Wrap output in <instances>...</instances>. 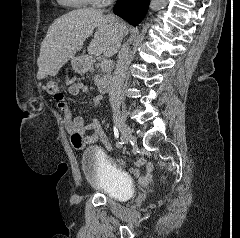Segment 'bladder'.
<instances>
[{
  "mask_svg": "<svg viewBox=\"0 0 240 238\" xmlns=\"http://www.w3.org/2000/svg\"><path fill=\"white\" fill-rule=\"evenodd\" d=\"M81 169L87 184L107 197L124 201L132 196L134 188L130 177L98 148L90 146L84 150Z\"/></svg>",
  "mask_w": 240,
  "mask_h": 238,
  "instance_id": "31cf9c89",
  "label": "bladder"
}]
</instances>
